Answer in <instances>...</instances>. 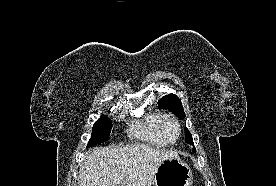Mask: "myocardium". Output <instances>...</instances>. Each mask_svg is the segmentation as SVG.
Segmentation results:
<instances>
[{"instance_id":"1","label":"myocardium","mask_w":276,"mask_h":186,"mask_svg":"<svg viewBox=\"0 0 276 186\" xmlns=\"http://www.w3.org/2000/svg\"><path fill=\"white\" fill-rule=\"evenodd\" d=\"M169 123L173 124L177 128L178 134H177L176 139H170L166 133V125ZM159 131H160V134L163 137V139L166 142H168L169 144H173V143L177 142L182 134V128H181V125H180L178 119L174 115H171V114H164L161 116L160 122H159Z\"/></svg>"}]
</instances>
